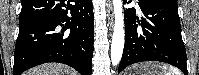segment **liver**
<instances>
[{"instance_id": "obj_1", "label": "liver", "mask_w": 199, "mask_h": 75, "mask_svg": "<svg viewBox=\"0 0 199 75\" xmlns=\"http://www.w3.org/2000/svg\"><path fill=\"white\" fill-rule=\"evenodd\" d=\"M24 75H78V73L66 65L49 63L28 70Z\"/></svg>"}]
</instances>
